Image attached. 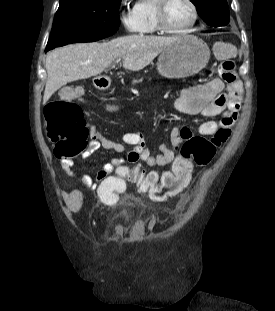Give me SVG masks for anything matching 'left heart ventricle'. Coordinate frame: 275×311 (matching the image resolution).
Masks as SVG:
<instances>
[{
    "label": "left heart ventricle",
    "mask_w": 275,
    "mask_h": 311,
    "mask_svg": "<svg viewBox=\"0 0 275 311\" xmlns=\"http://www.w3.org/2000/svg\"><path fill=\"white\" fill-rule=\"evenodd\" d=\"M191 18L192 11L186 0H170L165 14L166 23L170 28H182Z\"/></svg>",
    "instance_id": "left-heart-ventricle-1"
}]
</instances>
